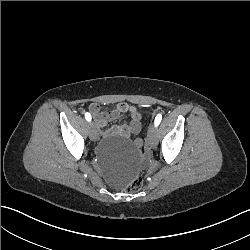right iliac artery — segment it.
<instances>
[{"label": "right iliac artery", "instance_id": "82829eb1", "mask_svg": "<svg viewBox=\"0 0 250 250\" xmlns=\"http://www.w3.org/2000/svg\"><path fill=\"white\" fill-rule=\"evenodd\" d=\"M85 118H86V120L87 121H91V115H90V113H85Z\"/></svg>", "mask_w": 250, "mask_h": 250}]
</instances>
